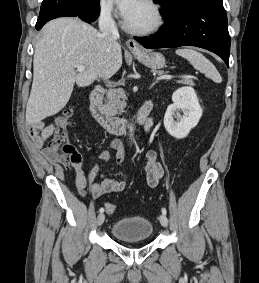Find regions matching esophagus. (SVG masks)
I'll return each instance as SVG.
<instances>
[{
	"instance_id": "34e87169",
	"label": "esophagus",
	"mask_w": 259,
	"mask_h": 283,
	"mask_svg": "<svg viewBox=\"0 0 259 283\" xmlns=\"http://www.w3.org/2000/svg\"><path fill=\"white\" fill-rule=\"evenodd\" d=\"M126 45H127L128 49L132 53H139V52H141L140 44L136 40H134V39H128L126 41Z\"/></svg>"
}]
</instances>
